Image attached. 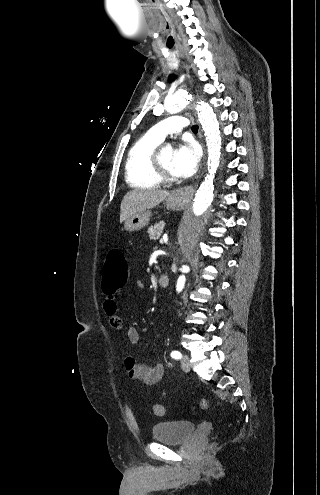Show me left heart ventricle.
<instances>
[{
  "mask_svg": "<svg viewBox=\"0 0 320 495\" xmlns=\"http://www.w3.org/2000/svg\"><path fill=\"white\" fill-rule=\"evenodd\" d=\"M174 156V150L170 147L163 148L161 151V161L163 166L173 174L172 172V161Z\"/></svg>",
  "mask_w": 320,
  "mask_h": 495,
  "instance_id": "left-heart-ventricle-1",
  "label": "left heart ventricle"
}]
</instances>
